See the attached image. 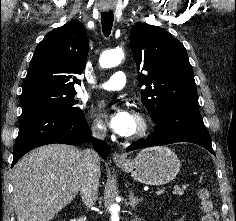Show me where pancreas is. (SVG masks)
<instances>
[{"label": "pancreas", "mask_w": 236, "mask_h": 221, "mask_svg": "<svg viewBox=\"0 0 236 221\" xmlns=\"http://www.w3.org/2000/svg\"><path fill=\"white\" fill-rule=\"evenodd\" d=\"M184 188H185V186H183L182 188L176 186L174 193L177 195H182L184 193Z\"/></svg>", "instance_id": "1"}]
</instances>
